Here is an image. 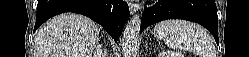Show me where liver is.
I'll return each instance as SVG.
<instances>
[{"mask_svg":"<svg viewBox=\"0 0 249 57\" xmlns=\"http://www.w3.org/2000/svg\"><path fill=\"white\" fill-rule=\"evenodd\" d=\"M100 39L94 21L75 13L61 14L43 26L35 36V57H92Z\"/></svg>","mask_w":249,"mask_h":57,"instance_id":"obj_1","label":"liver"}]
</instances>
